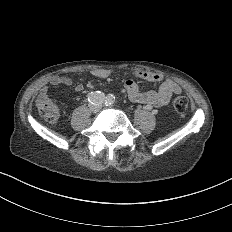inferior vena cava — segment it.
Masks as SVG:
<instances>
[{"instance_id":"602c4592","label":"inferior vena cava","mask_w":232,"mask_h":232,"mask_svg":"<svg viewBox=\"0 0 232 232\" xmlns=\"http://www.w3.org/2000/svg\"><path fill=\"white\" fill-rule=\"evenodd\" d=\"M89 107L91 108L92 112H97L102 109V106L99 104L92 105L91 103L89 104Z\"/></svg>"}]
</instances>
